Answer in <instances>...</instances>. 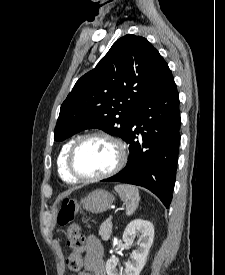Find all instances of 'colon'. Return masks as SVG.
Here are the masks:
<instances>
[{"label":"colon","mask_w":225,"mask_h":275,"mask_svg":"<svg viewBox=\"0 0 225 275\" xmlns=\"http://www.w3.org/2000/svg\"><path fill=\"white\" fill-rule=\"evenodd\" d=\"M78 212L79 207L77 202L72 199H65L57 217L60 226H67V245L71 249V253L67 258V267L73 272L80 271L83 265V236L80 233L79 227L73 224Z\"/></svg>","instance_id":"1"}]
</instances>
